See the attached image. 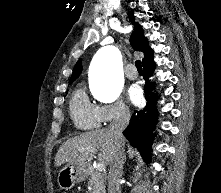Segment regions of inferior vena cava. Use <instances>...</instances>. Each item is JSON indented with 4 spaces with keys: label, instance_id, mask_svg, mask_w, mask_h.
<instances>
[{
    "label": "inferior vena cava",
    "instance_id": "inferior-vena-cava-1",
    "mask_svg": "<svg viewBox=\"0 0 221 193\" xmlns=\"http://www.w3.org/2000/svg\"><path fill=\"white\" fill-rule=\"evenodd\" d=\"M130 120V111L127 108H121L115 119L110 124V130L114 134L116 152L110 163L108 177V193H121L120 184L122 177V169L126 158L124 153L123 130L127 127Z\"/></svg>",
    "mask_w": 221,
    "mask_h": 193
}]
</instances>
